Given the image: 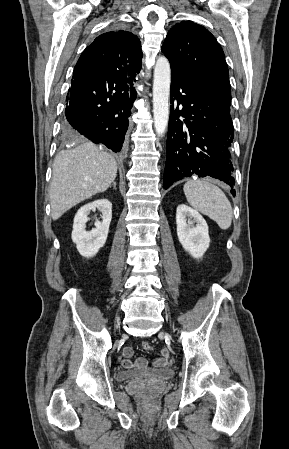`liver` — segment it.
I'll return each instance as SVG.
<instances>
[{"label": "liver", "instance_id": "6515ba94", "mask_svg": "<svg viewBox=\"0 0 289 449\" xmlns=\"http://www.w3.org/2000/svg\"><path fill=\"white\" fill-rule=\"evenodd\" d=\"M116 175L114 157L91 142L59 152L50 184L52 219L58 220L78 203L106 191Z\"/></svg>", "mask_w": 289, "mask_h": 449}]
</instances>
